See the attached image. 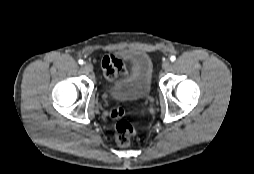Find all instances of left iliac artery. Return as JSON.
<instances>
[{
  "label": "left iliac artery",
  "mask_w": 254,
  "mask_h": 174,
  "mask_svg": "<svg viewBox=\"0 0 254 174\" xmlns=\"http://www.w3.org/2000/svg\"><path fill=\"white\" fill-rule=\"evenodd\" d=\"M170 60H171L172 62H174V61L176 60V57H175L174 55H172V56L170 57Z\"/></svg>",
  "instance_id": "obj_1"
}]
</instances>
